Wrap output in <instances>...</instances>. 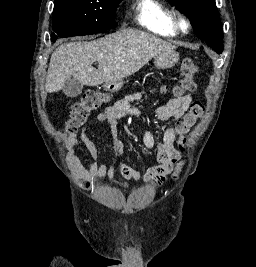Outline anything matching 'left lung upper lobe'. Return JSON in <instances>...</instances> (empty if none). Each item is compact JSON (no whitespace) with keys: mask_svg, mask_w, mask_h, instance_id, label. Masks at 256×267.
I'll list each match as a JSON object with an SVG mask.
<instances>
[{"mask_svg":"<svg viewBox=\"0 0 256 267\" xmlns=\"http://www.w3.org/2000/svg\"><path fill=\"white\" fill-rule=\"evenodd\" d=\"M191 21L198 38L218 54L223 51V32L215 0H169Z\"/></svg>","mask_w":256,"mask_h":267,"instance_id":"5c2ea615","label":"left lung upper lobe"}]
</instances>
